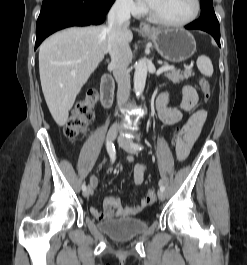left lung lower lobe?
I'll return each instance as SVG.
<instances>
[{
  "instance_id": "obj_1",
  "label": "left lung lower lobe",
  "mask_w": 247,
  "mask_h": 265,
  "mask_svg": "<svg viewBox=\"0 0 247 265\" xmlns=\"http://www.w3.org/2000/svg\"><path fill=\"white\" fill-rule=\"evenodd\" d=\"M201 16L185 26L186 29H199L210 33L220 46V27L215 15L212 0H201Z\"/></svg>"
}]
</instances>
